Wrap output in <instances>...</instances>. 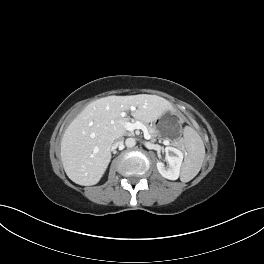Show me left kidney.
<instances>
[{"label": "left kidney", "instance_id": "1", "mask_svg": "<svg viewBox=\"0 0 264 264\" xmlns=\"http://www.w3.org/2000/svg\"><path fill=\"white\" fill-rule=\"evenodd\" d=\"M165 152L168 166L165 167L162 162L158 161L157 169L164 178L169 180H177L180 175L183 153L181 150L170 146L165 148Z\"/></svg>", "mask_w": 264, "mask_h": 264}]
</instances>
